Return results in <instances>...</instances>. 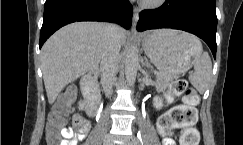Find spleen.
<instances>
[{"instance_id":"spleen-1","label":"spleen","mask_w":243,"mask_h":145,"mask_svg":"<svg viewBox=\"0 0 243 145\" xmlns=\"http://www.w3.org/2000/svg\"><path fill=\"white\" fill-rule=\"evenodd\" d=\"M211 76L212 62L209 54L203 52L194 63V72L189 75V81L200 93H204L208 87Z\"/></svg>"}]
</instances>
